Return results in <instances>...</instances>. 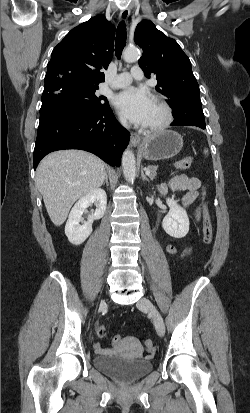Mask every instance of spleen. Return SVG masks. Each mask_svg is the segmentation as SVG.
I'll use <instances>...</instances> for the list:
<instances>
[{"instance_id":"spleen-1","label":"spleen","mask_w":250,"mask_h":413,"mask_svg":"<svg viewBox=\"0 0 250 413\" xmlns=\"http://www.w3.org/2000/svg\"><path fill=\"white\" fill-rule=\"evenodd\" d=\"M204 153H205V155H206V154H208V150H207V149H205V150H204Z\"/></svg>"}]
</instances>
